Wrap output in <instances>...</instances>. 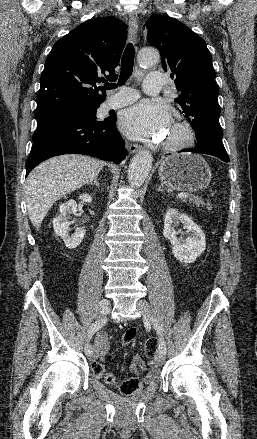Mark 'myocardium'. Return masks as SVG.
<instances>
[{"label": "myocardium", "instance_id": "myocardium-1", "mask_svg": "<svg viewBox=\"0 0 257 439\" xmlns=\"http://www.w3.org/2000/svg\"><path fill=\"white\" fill-rule=\"evenodd\" d=\"M181 134L180 138L173 142H165L163 148L168 152H177L191 147L195 137L191 127L184 122H175L172 126Z\"/></svg>", "mask_w": 257, "mask_h": 439}]
</instances>
